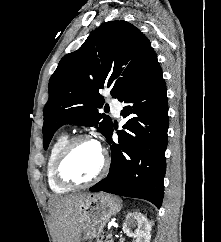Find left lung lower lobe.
Here are the masks:
<instances>
[{"label": "left lung lower lobe", "instance_id": "0a47b994", "mask_svg": "<svg viewBox=\"0 0 221 242\" xmlns=\"http://www.w3.org/2000/svg\"><path fill=\"white\" fill-rule=\"evenodd\" d=\"M123 118L130 117L112 141L107 135L112 160L108 176L91 187L116 195L141 198L160 208L166 172L168 103L160 65L140 85L125 95Z\"/></svg>", "mask_w": 221, "mask_h": 242}]
</instances>
